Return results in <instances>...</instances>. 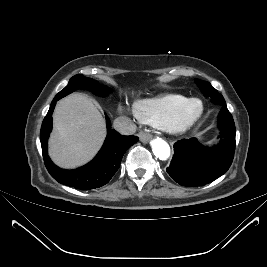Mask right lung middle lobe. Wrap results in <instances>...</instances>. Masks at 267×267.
Wrapping results in <instances>:
<instances>
[{"label":"right lung middle lobe","instance_id":"dd1d6c3e","mask_svg":"<svg viewBox=\"0 0 267 267\" xmlns=\"http://www.w3.org/2000/svg\"><path fill=\"white\" fill-rule=\"evenodd\" d=\"M78 88L90 90L97 95H106L109 92V89L106 86H102L99 83L93 81L92 79L86 78L83 75L78 74L73 76L70 79L68 85L55 97L61 99L62 97L70 94Z\"/></svg>","mask_w":267,"mask_h":267}]
</instances>
